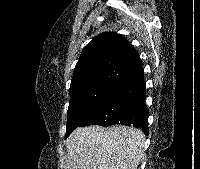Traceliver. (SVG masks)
Returning a JSON list of instances; mask_svg holds the SVG:
<instances>
[{
    "instance_id": "6515ba94",
    "label": "liver",
    "mask_w": 200,
    "mask_h": 169,
    "mask_svg": "<svg viewBox=\"0 0 200 169\" xmlns=\"http://www.w3.org/2000/svg\"><path fill=\"white\" fill-rule=\"evenodd\" d=\"M144 141L134 127H79L67 139L65 169H137Z\"/></svg>"
}]
</instances>
